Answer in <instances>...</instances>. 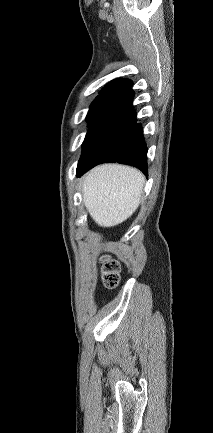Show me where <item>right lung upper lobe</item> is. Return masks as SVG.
I'll return each mask as SVG.
<instances>
[{
    "mask_svg": "<svg viewBox=\"0 0 213 433\" xmlns=\"http://www.w3.org/2000/svg\"><path fill=\"white\" fill-rule=\"evenodd\" d=\"M132 86L129 79H115L109 82L100 92L99 96H117ZM98 96V97H99Z\"/></svg>",
    "mask_w": 213,
    "mask_h": 433,
    "instance_id": "obj_1",
    "label": "right lung upper lobe"
}]
</instances>
